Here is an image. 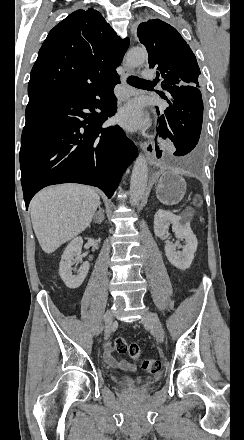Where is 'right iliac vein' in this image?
I'll use <instances>...</instances> for the list:
<instances>
[{
  "label": "right iliac vein",
  "mask_w": 244,
  "mask_h": 440,
  "mask_svg": "<svg viewBox=\"0 0 244 440\" xmlns=\"http://www.w3.org/2000/svg\"><path fill=\"white\" fill-rule=\"evenodd\" d=\"M104 322H105V340H107L112 331V324L114 323L112 313L110 310H107L104 314Z\"/></svg>",
  "instance_id": "1"
}]
</instances>
